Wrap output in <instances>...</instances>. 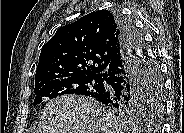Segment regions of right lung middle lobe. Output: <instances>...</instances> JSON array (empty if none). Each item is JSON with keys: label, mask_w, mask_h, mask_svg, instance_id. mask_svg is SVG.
<instances>
[{"label": "right lung middle lobe", "mask_w": 184, "mask_h": 133, "mask_svg": "<svg viewBox=\"0 0 184 133\" xmlns=\"http://www.w3.org/2000/svg\"><path fill=\"white\" fill-rule=\"evenodd\" d=\"M138 32V31H137ZM140 36V32H138ZM148 49V48H147ZM149 50V49H148ZM149 60L150 83L145 91L143 99L121 101L110 108L121 114H136L139 112H151L161 115L164 103L163 82L160 76L159 66L151 52H147ZM102 75H88L80 77H67L47 82L35 87L36 98L34 105L42 102V97L50 99L64 94L85 95L90 97L98 96L104 89Z\"/></svg>", "instance_id": "dd1d6c3e"}]
</instances>
